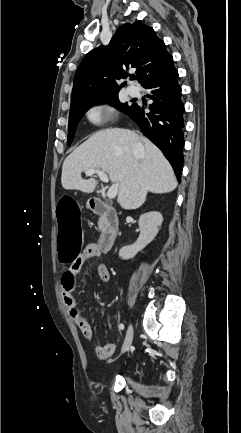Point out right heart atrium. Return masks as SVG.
<instances>
[{
  "instance_id": "d8ad5b80",
  "label": "right heart atrium",
  "mask_w": 241,
  "mask_h": 433,
  "mask_svg": "<svg viewBox=\"0 0 241 433\" xmlns=\"http://www.w3.org/2000/svg\"><path fill=\"white\" fill-rule=\"evenodd\" d=\"M110 112L109 108L95 106L87 112V118L93 123H100Z\"/></svg>"
}]
</instances>
